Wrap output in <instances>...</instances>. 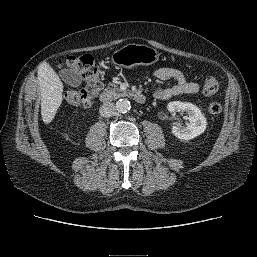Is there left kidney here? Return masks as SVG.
Segmentation results:
<instances>
[{"instance_id":"1","label":"left kidney","mask_w":257,"mask_h":257,"mask_svg":"<svg viewBox=\"0 0 257 257\" xmlns=\"http://www.w3.org/2000/svg\"><path fill=\"white\" fill-rule=\"evenodd\" d=\"M171 113L186 112L189 123L186 126L175 124L172 133L179 139L191 140L206 130L207 121L201 110L194 104L188 102L173 101L167 105Z\"/></svg>"}]
</instances>
